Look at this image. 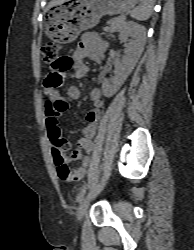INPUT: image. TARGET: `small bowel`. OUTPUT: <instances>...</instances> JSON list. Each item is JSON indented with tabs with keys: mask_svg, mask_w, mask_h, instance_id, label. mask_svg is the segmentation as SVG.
I'll return each instance as SVG.
<instances>
[{
	"mask_svg": "<svg viewBox=\"0 0 194 250\" xmlns=\"http://www.w3.org/2000/svg\"><path fill=\"white\" fill-rule=\"evenodd\" d=\"M106 49L107 42L98 33H84L81 36L80 42L78 43L74 53L71 56L63 57L67 61L63 72H70L76 78H84L88 72V67L84 61L86 59H91L96 63L103 62ZM107 70L108 68H104L100 76L102 89L94 88L89 92L91 108L85 115L86 124L80 130L82 136L77 142V148L69 156L64 157V161L67 166L74 161H81V165L79 167L72 171L70 170L71 177L67 181L82 180L85 177L87 168L90 164V153L93 150L92 139L97 129L102 108V94L103 92H109L112 89V83L105 78ZM53 71L54 69L51 68L49 73ZM44 86L47 90L49 98L56 103L54 108L46 111V127L49 138H51L54 135H60L61 131L58 124V118L67 109L68 102L80 99L81 90L77 86H69L66 89V96L62 97L56 90L47 85V77L44 80ZM60 102L64 103L65 106H59L58 103Z\"/></svg>",
	"mask_w": 194,
	"mask_h": 250,
	"instance_id": "c3829d8e",
	"label": "small bowel"
}]
</instances>
